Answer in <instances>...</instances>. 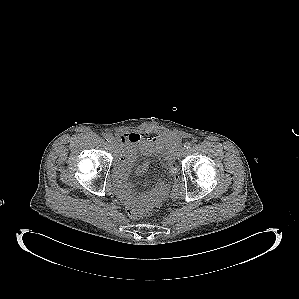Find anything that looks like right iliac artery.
<instances>
[{"mask_svg":"<svg viewBox=\"0 0 299 299\" xmlns=\"http://www.w3.org/2000/svg\"><path fill=\"white\" fill-rule=\"evenodd\" d=\"M105 138H106V140H107L108 142H111V141L113 140V137H112V135H110V134H106V135H105Z\"/></svg>","mask_w":299,"mask_h":299,"instance_id":"82829eb1","label":"right iliac artery"}]
</instances>
